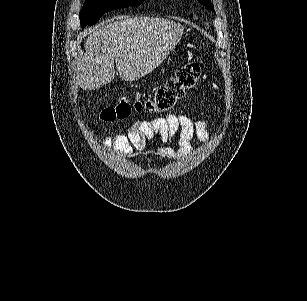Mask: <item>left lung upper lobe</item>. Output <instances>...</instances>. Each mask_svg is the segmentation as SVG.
Instances as JSON below:
<instances>
[{
    "label": "left lung upper lobe",
    "instance_id": "obj_1",
    "mask_svg": "<svg viewBox=\"0 0 307 301\" xmlns=\"http://www.w3.org/2000/svg\"><path fill=\"white\" fill-rule=\"evenodd\" d=\"M198 1L208 9L214 10L211 4V0H198Z\"/></svg>",
    "mask_w": 307,
    "mask_h": 301
}]
</instances>
